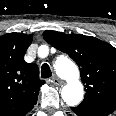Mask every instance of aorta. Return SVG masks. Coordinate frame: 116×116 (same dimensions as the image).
Here are the masks:
<instances>
[{
	"label": "aorta",
	"instance_id": "1",
	"mask_svg": "<svg viewBox=\"0 0 116 116\" xmlns=\"http://www.w3.org/2000/svg\"><path fill=\"white\" fill-rule=\"evenodd\" d=\"M58 74L66 80L61 96L69 106L78 105L83 99V85L79 81V71L76 65L68 58H61L56 65Z\"/></svg>",
	"mask_w": 116,
	"mask_h": 116
}]
</instances>
